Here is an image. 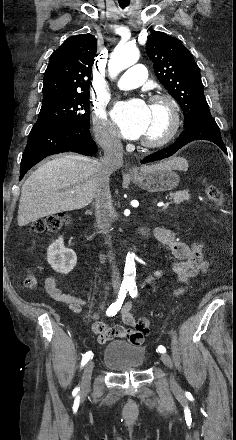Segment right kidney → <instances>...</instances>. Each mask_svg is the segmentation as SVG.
Masks as SVG:
<instances>
[{"label": "right kidney", "instance_id": "ca27d5eb", "mask_svg": "<svg viewBox=\"0 0 236 440\" xmlns=\"http://www.w3.org/2000/svg\"><path fill=\"white\" fill-rule=\"evenodd\" d=\"M47 260L52 269L62 274L70 273L77 264L76 253L64 247L62 237L54 241L47 249Z\"/></svg>", "mask_w": 236, "mask_h": 440}]
</instances>
